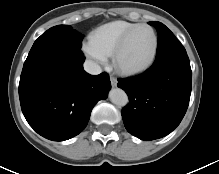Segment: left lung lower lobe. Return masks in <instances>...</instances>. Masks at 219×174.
Here are the masks:
<instances>
[{
    "label": "left lung lower lobe",
    "instance_id": "1",
    "mask_svg": "<svg viewBox=\"0 0 219 174\" xmlns=\"http://www.w3.org/2000/svg\"><path fill=\"white\" fill-rule=\"evenodd\" d=\"M191 81L186 52L164 54L145 73L118 79L130 100L121 112L127 131L146 141L171 133L186 113Z\"/></svg>",
    "mask_w": 219,
    "mask_h": 174
}]
</instances>
